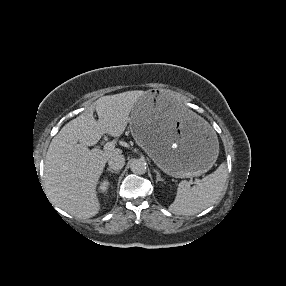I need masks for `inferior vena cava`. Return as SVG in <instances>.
I'll list each match as a JSON object with an SVG mask.
<instances>
[{
	"instance_id": "1",
	"label": "inferior vena cava",
	"mask_w": 286,
	"mask_h": 286,
	"mask_svg": "<svg viewBox=\"0 0 286 286\" xmlns=\"http://www.w3.org/2000/svg\"><path fill=\"white\" fill-rule=\"evenodd\" d=\"M108 165L113 170H120L125 165V158L122 154L116 153L108 160Z\"/></svg>"
}]
</instances>
